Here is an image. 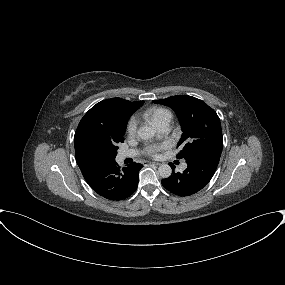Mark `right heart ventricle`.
<instances>
[{
	"label": "right heart ventricle",
	"mask_w": 285,
	"mask_h": 285,
	"mask_svg": "<svg viewBox=\"0 0 285 285\" xmlns=\"http://www.w3.org/2000/svg\"><path fill=\"white\" fill-rule=\"evenodd\" d=\"M145 115L157 126L163 119L171 117L169 110L162 107H155L148 110Z\"/></svg>",
	"instance_id": "e07e8e85"
}]
</instances>
